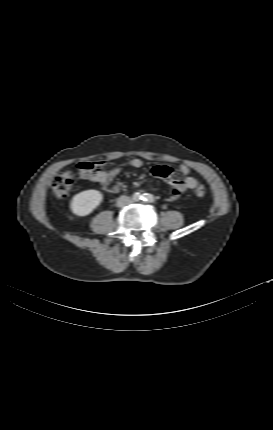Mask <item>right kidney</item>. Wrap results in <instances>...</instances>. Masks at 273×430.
Instances as JSON below:
<instances>
[{"instance_id":"ca27d5eb","label":"right kidney","mask_w":273,"mask_h":430,"mask_svg":"<svg viewBox=\"0 0 273 430\" xmlns=\"http://www.w3.org/2000/svg\"><path fill=\"white\" fill-rule=\"evenodd\" d=\"M103 195L98 190H85L73 196L70 202L71 211L77 216H87L102 202Z\"/></svg>"}]
</instances>
